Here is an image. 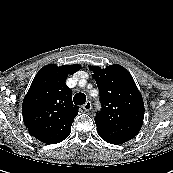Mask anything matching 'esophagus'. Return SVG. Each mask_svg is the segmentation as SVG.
<instances>
[{
    "instance_id": "34e87169",
    "label": "esophagus",
    "mask_w": 173,
    "mask_h": 173,
    "mask_svg": "<svg viewBox=\"0 0 173 173\" xmlns=\"http://www.w3.org/2000/svg\"><path fill=\"white\" fill-rule=\"evenodd\" d=\"M82 108H83L85 111L91 110V108H92L91 102H90V101H87V102L82 106Z\"/></svg>"
}]
</instances>
